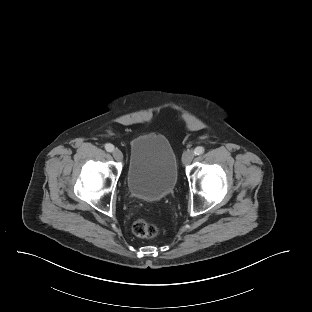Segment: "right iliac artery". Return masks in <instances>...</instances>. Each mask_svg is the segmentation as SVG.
<instances>
[{"label": "right iliac artery", "mask_w": 312, "mask_h": 312, "mask_svg": "<svg viewBox=\"0 0 312 312\" xmlns=\"http://www.w3.org/2000/svg\"><path fill=\"white\" fill-rule=\"evenodd\" d=\"M105 149L108 152H112L114 150V146L112 144L108 143L105 145Z\"/></svg>", "instance_id": "right-iliac-artery-1"}]
</instances>
